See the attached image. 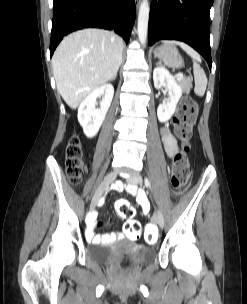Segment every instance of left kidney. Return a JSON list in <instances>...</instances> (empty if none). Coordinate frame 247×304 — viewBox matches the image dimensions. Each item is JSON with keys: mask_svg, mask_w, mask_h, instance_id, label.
<instances>
[{"mask_svg": "<svg viewBox=\"0 0 247 304\" xmlns=\"http://www.w3.org/2000/svg\"><path fill=\"white\" fill-rule=\"evenodd\" d=\"M155 88L166 87L169 90L170 100L160 104L157 108V116L160 122L168 121L176 110V105L182 96V89L165 67H156L153 71Z\"/></svg>", "mask_w": 247, "mask_h": 304, "instance_id": "5707ae66", "label": "left kidney"}]
</instances>
